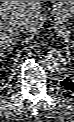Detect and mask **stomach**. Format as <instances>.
<instances>
[{
  "label": "stomach",
  "mask_w": 74,
  "mask_h": 122,
  "mask_svg": "<svg viewBox=\"0 0 74 122\" xmlns=\"http://www.w3.org/2000/svg\"><path fill=\"white\" fill-rule=\"evenodd\" d=\"M57 18H71L74 13V1H52Z\"/></svg>",
  "instance_id": "obj_1"
}]
</instances>
